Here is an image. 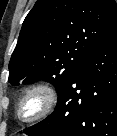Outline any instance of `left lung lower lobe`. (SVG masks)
Masks as SVG:
<instances>
[{
	"mask_svg": "<svg viewBox=\"0 0 117 136\" xmlns=\"http://www.w3.org/2000/svg\"><path fill=\"white\" fill-rule=\"evenodd\" d=\"M29 136H117V24L58 93L54 112Z\"/></svg>",
	"mask_w": 117,
	"mask_h": 136,
	"instance_id": "obj_1",
	"label": "left lung lower lobe"
}]
</instances>
